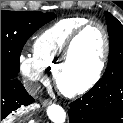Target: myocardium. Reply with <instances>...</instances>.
Masks as SVG:
<instances>
[{
	"mask_svg": "<svg viewBox=\"0 0 123 123\" xmlns=\"http://www.w3.org/2000/svg\"><path fill=\"white\" fill-rule=\"evenodd\" d=\"M91 26H97L101 30L102 36H103V51L99 59L98 66L94 74L92 75V77L88 79L86 82L76 85V86H67L63 83V75L71 60L74 45L77 39ZM109 52H110L109 35H108V32L105 26L102 23L98 21L90 20L86 22L85 24H83L82 26H80L78 29H76L73 32V34L68 39L64 47L61 59L54 69L53 77H54V81H55L57 88L64 95L70 96V97L81 95L89 91L100 80L104 72L106 63L108 61Z\"/></svg>",
	"mask_w": 123,
	"mask_h": 123,
	"instance_id": "f54148a6",
	"label": "myocardium"
}]
</instances>
